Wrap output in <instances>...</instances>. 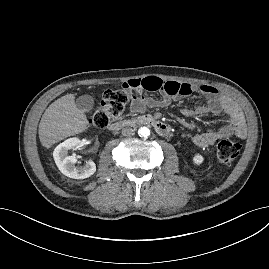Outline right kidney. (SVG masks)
<instances>
[{
  "mask_svg": "<svg viewBox=\"0 0 269 269\" xmlns=\"http://www.w3.org/2000/svg\"><path fill=\"white\" fill-rule=\"evenodd\" d=\"M84 145V141L78 138H69L60 143L53 152L55 163L59 170L67 177L74 179H85L96 172V165L93 161H88L84 166L77 167V158L68 155L70 149Z\"/></svg>",
  "mask_w": 269,
  "mask_h": 269,
  "instance_id": "right-kidney-1",
  "label": "right kidney"
}]
</instances>
